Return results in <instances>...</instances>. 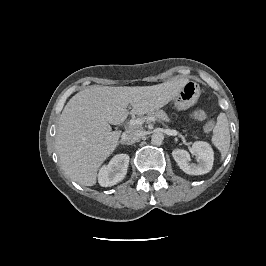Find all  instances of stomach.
I'll list each match as a JSON object with an SVG mask.
<instances>
[{
  "label": "stomach",
  "instance_id": "0dacf381",
  "mask_svg": "<svg viewBox=\"0 0 266 266\" xmlns=\"http://www.w3.org/2000/svg\"><path fill=\"white\" fill-rule=\"evenodd\" d=\"M200 94L199 85L194 81L188 80L173 97L174 105L178 110H186L197 102Z\"/></svg>",
  "mask_w": 266,
  "mask_h": 266
}]
</instances>
